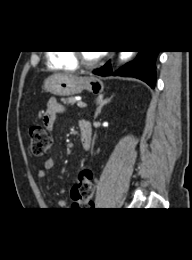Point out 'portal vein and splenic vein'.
<instances>
[{"mask_svg":"<svg viewBox=\"0 0 192 260\" xmlns=\"http://www.w3.org/2000/svg\"><path fill=\"white\" fill-rule=\"evenodd\" d=\"M77 106L80 107V108H84V107H86L87 105H86V103H84V102H82V101H78V102H77Z\"/></svg>","mask_w":192,"mask_h":260,"instance_id":"18ae733b","label":"portal vein and splenic vein"}]
</instances>
